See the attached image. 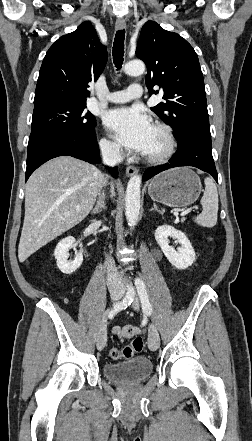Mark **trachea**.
Here are the masks:
<instances>
[{"label":"trachea","mask_w":252,"mask_h":441,"mask_svg":"<svg viewBox=\"0 0 252 441\" xmlns=\"http://www.w3.org/2000/svg\"><path fill=\"white\" fill-rule=\"evenodd\" d=\"M124 38L125 31L118 30L113 43V61L118 70L121 69L124 60Z\"/></svg>","instance_id":"obj_1"}]
</instances>
